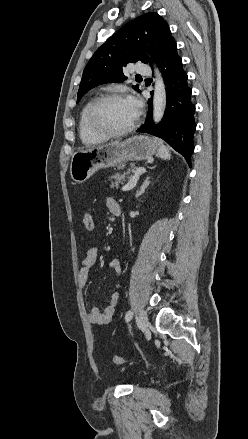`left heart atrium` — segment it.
I'll return each mask as SVG.
<instances>
[{
    "label": "left heart atrium",
    "mask_w": 248,
    "mask_h": 439,
    "mask_svg": "<svg viewBox=\"0 0 248 439\" xmlns=\"http://www.w3.org/2000/svg\"><path fill=\"white\" fill-rule=\"evenodd\" d=\"M128 101L130 102V104L133 106V108L136 110V112L139 111L140 108V103L136 98H129Z\"/></svg>",
    "instance_id": "left-heart-atrium-1"
}]
</instances>
